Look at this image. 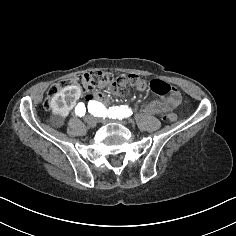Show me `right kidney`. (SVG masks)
<instances>
[{
	"instance_id": "1",
	"label": "right kidney",
	"mask_w": 236,
	"mask_h": 236,
	"mask_svg": "<svg viewBox=\"0 0 236 236\" xmlns=\"http://www.w3.org/2000/svg\"><path fill=\"white\" fill-rule=\"evenodd\" d=\"M72 90V92H70ZM81 96V89L78 86H67L51 99V113L49 121L56 131H63L66 128L65 117L69 116L70 108Z\"/></svg>"
}]
</instances>
